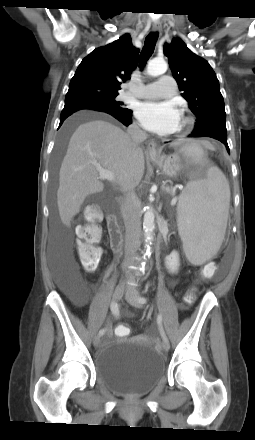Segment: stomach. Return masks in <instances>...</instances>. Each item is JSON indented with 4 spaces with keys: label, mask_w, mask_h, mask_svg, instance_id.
<instances>
[{
    "label": "stomach",
    "mask_w": 255,
    "mask_h": 440,
    "mask_svg": "<svg viewBox=\"0 0 255 440\" xmlns=\"http://www.w3.org/2000/svg\"><path fill=\"white\" fill-rule=\"evenodd\" d=\"M192 146L194 145H187L183 148V150L189 149ZM150 159L160 169H162L165 175L169 177H176L183 169L182 160L178 154H173L170 156L159 155L156 157H150Z\"/></svg>",
    "instance_id": "0dacf381"
}]
</instances>
